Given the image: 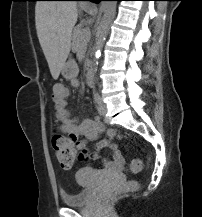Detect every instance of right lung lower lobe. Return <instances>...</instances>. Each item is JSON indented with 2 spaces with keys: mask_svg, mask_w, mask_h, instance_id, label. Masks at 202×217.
<instances>
[{
  "mask_svg": "<svg viewBox=\"0 0 202 217\" xmlns=\"http://www.w3.org/2000/svg\"><path fill=\"white\" fill-rule=\"evenodd\" d=\"M71 1H79V0H71ZM82 1H94V2H99L101 0H82Z\"/></svg>",
  "mask_w": 202,
  "mask_h": 217,
  "instance_id": "right-lung-lower-lobe-1",
  "label": "right lung lower lobe"
}]
</instances>
